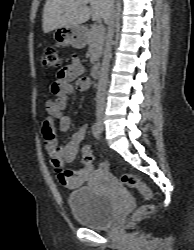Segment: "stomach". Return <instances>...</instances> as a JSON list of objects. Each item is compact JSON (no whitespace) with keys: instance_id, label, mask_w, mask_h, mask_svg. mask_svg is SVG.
Returning a JSON list of instances; mask_svg holds the SVG:
<instances>
[{"instance_id":"obj_1","label":"stomach","mask_w":194,"mask_h":250,"mask_svg":"<svg viewBox=\"0 0 194 250\" xmlns=\"http://www.w3.org/2000/svg\"><path fill=\"white\" fill-rule=\"evenodd\" d=\"M54 39L58 45L83 48L87 43L86 30L81 25L65 26L56 29Z\"/></svg>"}]
</instances>
